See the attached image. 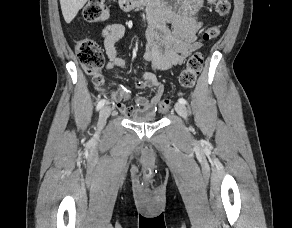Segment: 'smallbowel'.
Returning a JSON list of instances; mask_svg holds the SVG:
<instances>
[{"instance_id": "small-bowel-1", "label": "small bowel", "mask_w": 292, "mask_h": 228, "mask_svg": "<svg viewBox=\"0 0 292 228\" xmlns=\"http://www.w3.org/2000/svg\"><path fill=\"white\" fill-rule=\"evenodd\" d=\"M215 0H166L159 1L148 11L149 28L143 54L148 63V71L142 74L143 84L154 90L151 98L141 95L133 97L137 107L117 102V108L127 116H154L163 93L164 86L157 78L158 71L169 70L181 65L184 59L202 45L198 38L201 22L197 17L204 2ZM126 33L122 24H109L101 32L108 57L107 71L125 68V61L118 55L115 44Z\"/></svg>"}]
</instances>
